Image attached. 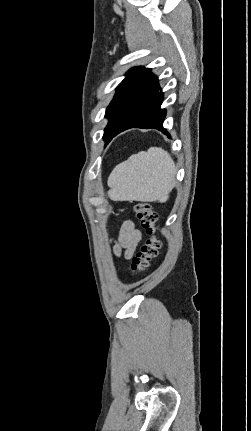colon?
<instances>
[{"label":"colon","instance_id":"obj_1","mask_svg":"<svg viewBox=\"0 0 251 431\" xmlns=\"http://www.w3.org/2000/svg\"><path fill=\"white\" fill-rule=\"evenodd\" d=\"M137 219L142 228L148 234V238L132 258L131 270L133 276H138L146 271L151 261L157 257L161 248V241L158 233V214L147 202L137 203L134 207Z\"/></svg>","mask_w":251,"mask_h":431}]
</instances>
